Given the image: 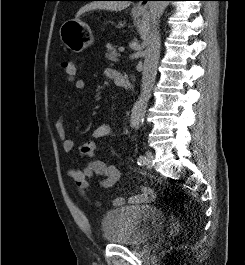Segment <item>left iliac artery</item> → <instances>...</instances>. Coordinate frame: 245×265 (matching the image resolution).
Wrapping results in <instances>:
<instances>
[{"label": "left iliac artery", "mask_w": 245, "mask_h": 265, "mask_svg": "<svg viewBox=\"0 0 245 265\" xmlns=\"http://www.w3.org/2000/svg\"><path fill=\"white\" fill-rule=\"evenodd\" d=\"M144 162H145V157L144 156H139L138 158H137V163H138V165H144Z\"/></svg>", "instance_id": "1"}]
</instances>
